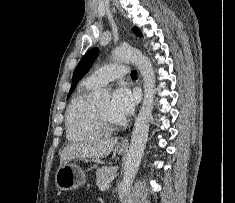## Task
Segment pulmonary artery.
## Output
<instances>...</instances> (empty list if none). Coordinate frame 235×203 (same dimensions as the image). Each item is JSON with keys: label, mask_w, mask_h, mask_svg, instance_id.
Masks as SVG:
<instances>
[{"label": "pulmonary artery", "mask_w": 235, "mask_h": 203, "mask_svg": "<svg viewBox=\"0 0 235 203\" xmlns=\"http://www.w3.org/2000/svg\"><path fill=\"white\" fill-rule=\"evenodd\" d=\"M128 73L127 67L122 63L106 65L92 73L86 81L97 88L104 86L110 81L121 78Z\"/></svg>", "instance_id": "e3ab8cb5"}]
</instances>
